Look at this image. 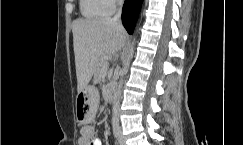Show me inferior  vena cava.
Wrapping results in <instances>:
<instances>
[{"mask_svg":"<svg viewBox=\"0 0 243 145\" xmlns=\"http://www.w3.org/2000/svg\"><path fill=\"white\" fill-rule=\"evenodd\" d=\"M122 2H123L122 0H119V2H118L119 9H118V12L116 13V15L112 18L113 21L120 22Z\"/></svg>","mask_w":243,"mask_h":145,"instance_id":"inferior-vena-cava-1","label":"inferior vena cava"}]
</instances>
